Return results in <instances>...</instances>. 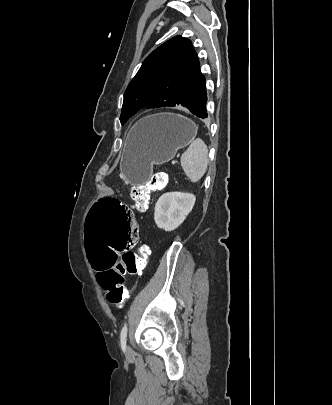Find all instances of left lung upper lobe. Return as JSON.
<instances>
[{"label":"left lung upper lobe","instance_id":"1","mask_svg":"<svg viewBox=\"0 0 332 405\" xmlns=\"http://www.w3.org/2000/svg\"><path fill=\"white\" fill-rule=\"evenodd\" d=\"M203 79L191 41L173 37L145 59L129 83L124 94L121 124L143 107L191 109Z\"/></svg>","mask_w":332,"mask_h":405}]
</instances>
